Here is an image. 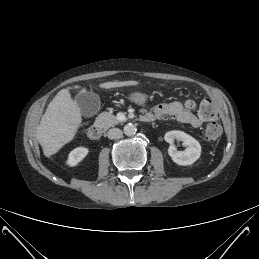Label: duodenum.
<instances>
[{
	"label": "duodenum",
	"mask_w": 259,
	"mask_h": 259,
	"mask_svg": "<svg viewBox=\"0 0 259 259\" xmlns=\"http://www.w3.org/2000/svg\"><path fill=\"white\" fill-rule=\"evenodd\" d=\"M140 120L144 123H150L154 121V117L151 114H144ZM88 135L92 140H99L103 135V128L99 124H94L89 128Z\"/></svg>",
	"instance_id": "duodenum-1"
}]
</instances>
